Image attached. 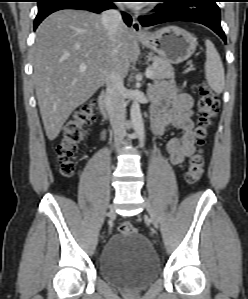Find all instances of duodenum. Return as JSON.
<instances>
[{
  "label": "duodenum",
  "instance_id": "obj_1",
  "mask_svg": "<svg viewBox=\"0 0 248 299\" xmlns=\"http://www.w3.org/2000/svg\"><path fill=\"white\" fill-rule=\"evenodd\" d=\"M101 113L107 119L112 113V103L107 90H103L98 98Z\"/></svg>",
  "mask_w": 248,
  "mask_h": 299
}]
</instances>
